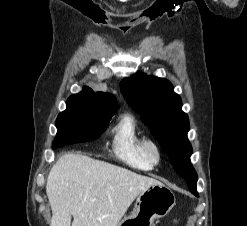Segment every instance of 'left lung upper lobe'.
<instances>
[{"instance_id": "left-lung-upper-lobe-1", "label": "left lung upper lobe", "mask_w": 247, "mask_h": 226, "mask_svg": "<svg viewBox=\"0 0 247 226\" xmlns=\"http://www.w3.org/2000/svg\"><path fill=\"white\" fill-rule=\"evenodd\" d=\"M120 88L125 100L141 115V120L168 154L176 172L184 177L185 171L193 168L192 147L187 138L189 119L172 84L164 78L138 72L122 80Z\"/></svg>"}]
</instances>
